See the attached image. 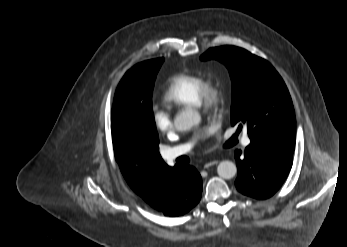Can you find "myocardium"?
<instances>
[{
    "instance_id": "obj_1",
    "label": "myocardium",
    "mask_w": 347,
    "mask_h": 247,
    "mask_svg": "<svg viewBox=\"0 0 347 247\" xmlns=\"http://www.w3.org/2000/svg\"><path fill=\"white\" fill-rule=\"evenodd\" d=\"M224 102V91L213 79H203L199 90V106L205 112L215 111Z\"/></svg>"
}]
</instances>
